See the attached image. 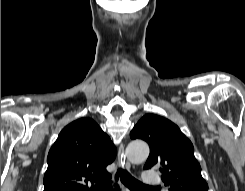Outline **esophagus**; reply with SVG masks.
Instances as JSON below:
<instances>
[{"instance_id": "1", "label": "esophagus", "mask_w": 245, "mask_h": 191, "mask_svg": "<svg viewBox=\"0 0 245 191\" xmlns=\"http://www.w3.org/2000/svg\"><path fill=\"white\" fill-rule=\"evenodd\" d=\"M118 162L119 165L122 169L129 170L131 165L130 162L128 161L126 154H125V145L121 144L118 150ZM122 188L124 189V185L121 184Z\"/></svg>"}]
</instances>
